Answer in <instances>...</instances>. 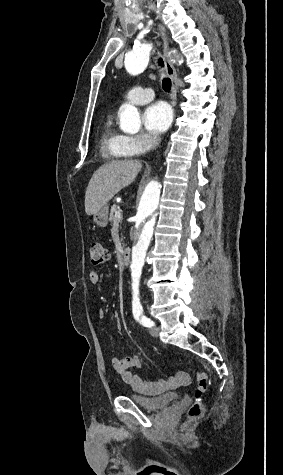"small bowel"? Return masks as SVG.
<instances>
[{
  "label": "small bowel",
  "mask_w": 283,
  "mask_h": 475,
  "mask_svg": "<svg viewBox=\"0 0 283 475\" xmlns=\"http://www.w3.org/2000/svg\"><path fill=\"white\" fill-rule=\"evenodd\" d=\"M101 279V274L97 270H92L89 273V280L92 284H98ZM106 310L99 309L98 317L100 319L106 318ZM111 365L113 369L120 374L122 380L129 384L132 388L138 390L143 388L147 382L141 379L134 371L133 368H138L141 365V359L137 355H128L126 357H113L111 359ZM175 386L184 385L185 383L181 379V373L177 374L174 377L170 378ZM155 384L163 385L165 383V378L163 376H157L154 379ZM190 382V381H189ZM189 384V383H187Z\"/></svg>",
  "instance_id": "obj_1"
}]
</instances>
